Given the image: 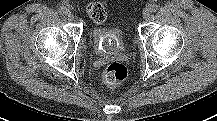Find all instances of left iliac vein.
I'll list each match as a JSON object with an SVG mask.
<instances>
[{
  "label": "left iliac vein",
  "instance_id": "left-iliac-vein-1",
  "mask_svg": "<svg viewBox=\"0 0 217 121\" xmlns=\"http://www.w3.org/2000/svg\"><path fill=\"white\" fill-rule=\"evenodd\" d=\"M150 15H151V10H150L149 8H146V9L143 11V18H144L145 20H147V19H149Z\"/></svg>",
  "mask_w": 217,
  "mask_h": 121
}]
</instances>
